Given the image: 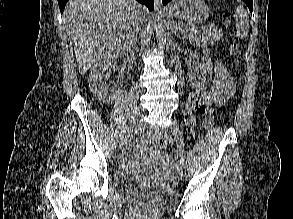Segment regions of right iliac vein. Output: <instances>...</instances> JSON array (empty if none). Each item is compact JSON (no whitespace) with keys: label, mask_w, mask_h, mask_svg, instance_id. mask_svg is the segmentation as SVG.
Returning <instances> with one entry per match:
<instances>
[{"label":"right iliac vein","mask_w":293,"mask_h":219,"mask_svg":"<svg viewBox=\"0 0 293 219\" xmlns=\"http://www.w3.org/2000/svg\"><path fill=\"white\" fill-rule=\"evenodd\" d=\"M143 121H144L143 115H140L134 120L128 133L121 139L119 143L120 148H123L124 146H126L132 140V138L141 131V128L143 126Z\"/></svg>","instance_id":"63e3f726"}]
</instances>
